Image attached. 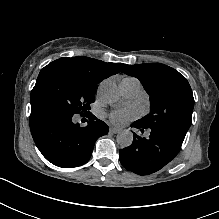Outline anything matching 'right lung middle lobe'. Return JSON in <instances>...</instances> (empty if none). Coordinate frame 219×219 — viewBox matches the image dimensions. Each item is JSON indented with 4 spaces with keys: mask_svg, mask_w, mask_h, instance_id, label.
I'll list each match as a JSON object with an SVG mask.
<instances>
[{
    "mask_svg": "<svg viewBox=\"0 0 219 219\" xmlns=\"http://www.w3.org/2000/svg\"><path fill=\"white\" fill-rule=\"evenodd\" d=\"M96 86L82 72L61 63H50L40 71L30 102L51 104L71 115L84 114L94 102Z\"/></svg>",
    "mask_w": 219,
    "mask_h": 219,
    "instance_id": "dd1d6c3e",
    "label": "right lung middle lobe"
}]
</instances>
